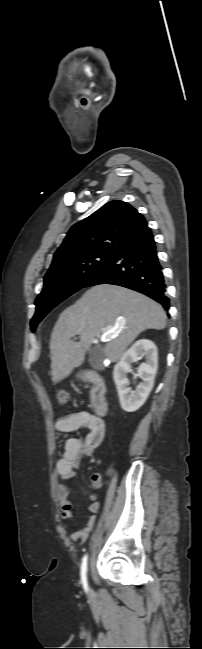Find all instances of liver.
Listing matches in <instances>:
<instances>
[{
	"mask_svg": "<svg viewBox=\"0 0 202 649\" xmlns=\"http://www.w3.org/2000/svg\"><path fill=\"white\" fill-rule=\"evenodd\" d=\"M166 319L158 303L137 291L110 284L92 287L61 313L53 328L50 339L53 383H59L83 363L85 353L100 332L113 331L103 353L116 362L142 331L163 330ZM76 335L80 336L79 342L71 340Z\"/></svg>",
	"mask_w": 202,
	"mask_h": 649,
	"instance_id": "obj_1",
	"label": "liver"
}]
</instances>
